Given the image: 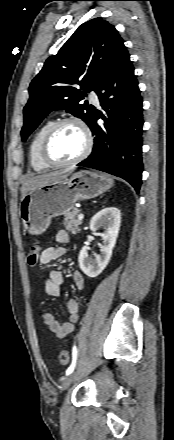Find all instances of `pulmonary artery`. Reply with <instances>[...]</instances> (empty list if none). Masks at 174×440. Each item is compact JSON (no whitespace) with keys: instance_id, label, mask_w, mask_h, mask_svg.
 I'll return each mask as SVG.
<instances>
[{"instance_id":"1","label":"pulmonary artery","mask_w":174,"mask_h":440,"mask_svg":"<svg viewBox=\"0 0 174 440\" xmlns=\"http://www.w3.org/2000/svg\"><path fill=\"white\" fill-rule=\"evenodd\" d=\"M89 97H90L91 101H92L96 106L99 105V99H98V96H97V94H96L94 91H92V92L90 93Z\"/></svg>"}]
</instances>
